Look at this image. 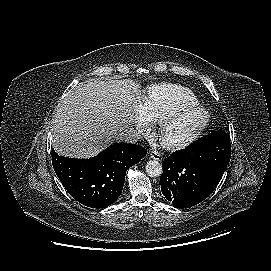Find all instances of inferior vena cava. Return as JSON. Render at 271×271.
Segmentation results:
<instances>
[{"label":"inferior vena cava","mask_w":271,"mask_h":271,"mask_svg":"<svg viewBox=\"0 0 271 271\" xmlns=\"http://www.w3.org/2000/svg\"><path fill=\"white\" fill-rule=\"evenodd\" d=\"M141 138V134L134 128H127L119 133L117 140L125 143H136Z\"/></svg>","instance_id":"602c4592"}]
</instances>
